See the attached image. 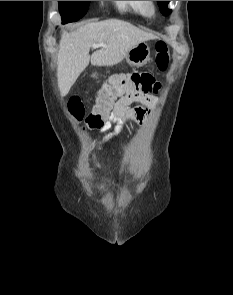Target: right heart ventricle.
<instances>
[{"instance_id":"1","label":"right heart ventricle","mask_w":233,"mask_h":295,"mask_svg":"<svg viewBox=\"0 0 233 295\" xmlns=\"http://www.w3.org/2000/svg\"><path fill=\"white\" fill-rule=\"evenodd\" d=\"M113 3L120 13L145 16L142 10V1H113Z\"/></svg>"}]
</instances>
